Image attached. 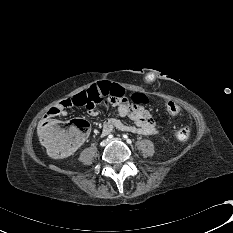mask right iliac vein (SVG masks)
I'll return each mask as SVG.
<instances>
[{
	"label": "right iliac vein",
	"mask_w": 233,
	"mask_h": 233,
	"mask_svg": "<svg viewBox=\"0 0 233 233\" xmlns=\"http://www.w3.org/2000/svg\"><path fill=\"white\" fill-rule=\"evenodd\" d=\"M107 144H108V141H106V140H104V141L101 142V146L102 147H105Z\"/></svg>",
	"instance_id": "obj_1"
}]
</instances>
